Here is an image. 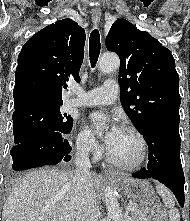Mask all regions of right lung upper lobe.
I'll use <instances>...</instances> for the list:
<instances>
[{
    "label": "right lung upper lobe",
    "mask_w": 190,
    "mask_h": 221,
    "mask_svg": "<svg viewBox=\"0 0 190 221\" xmlns=\"http://www.w3.org/2000/svg\"><path fill=\"white\" fill-rule=\"evenodd\" d=\"M86 35L76 22L63 19L35 33L22 47L15 73L14 113L44 104H63L69 78L80 81Z\"/></svg>",
    "instance_id": "cb5924a9"
}]
</instances>
